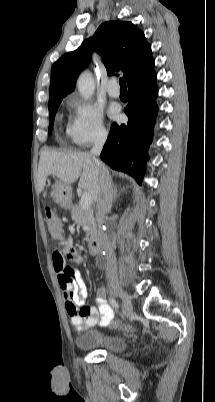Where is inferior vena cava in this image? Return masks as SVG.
<instances>
[{
	"mask_svg": "<svg viewBox=\"0 0 215 402\" xmlns=\"http://www.w3.org/2000/svg\"><path fill=\"white\" fill-rule=\"evenodd\" d=\"M105 141L106 134L101 135L95 141L90 153L94 158L99 173L96 218L99 227V236L102 242V247L105 251L107 279L109 282H117V264L113 251V244L110 242L108 235L104 230L105 216L110 212L113 201L111 178L108 171L96 158V156L100 155Z\"/></svg>",
	"mask_w": 215,
	"mask_h": 402,
	"instance_id": "1",
	"label": "inferior vena cava"
}]
</instances>
